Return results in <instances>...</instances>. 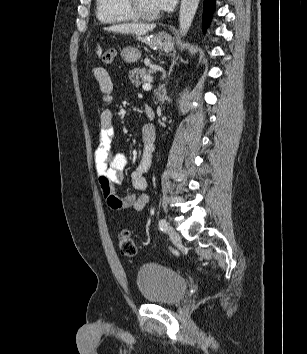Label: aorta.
I'll return each instance as SVG.
<instances>
[{
  "instance_id": "obj_1",
  "label": "aorta",
  "mask_w": 307,
  "mask_h": 354,
  "mask_svg": "<svg viewBox=\"0 0 307 354\" xmlns=\"http://www.w3.org/2000/svg\"><path fill=\"white\" fill-rule=\"evenodd\" d=\"M200 0H181L179 11V30L185 36L192 24Z\"/></svg>"
}]
</instances>
